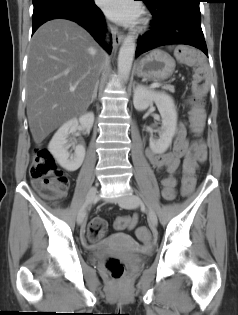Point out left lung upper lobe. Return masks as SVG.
I'll return each instance as SVG.
<instances>
[{
  "label": "left lung upper lobe",
  "mask_w": 238,
  "mask_h": 315,
  "mask_svg": "<svg viewBox=\"0 0 238 315\" xmlns=\"http://www.w3.org/2000/svg\"><path fill=\"white\" fill-rule=\"evenodd\" d=\"M146 1H148V2H153V1H156V0H146Z\"/></svg>",
  "instance_id": "5c2ea615"
}]
</instances>
